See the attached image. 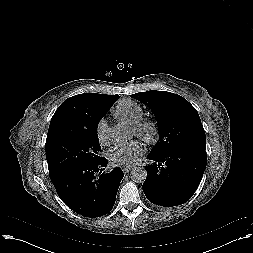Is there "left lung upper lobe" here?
Masks as SVG:
<instances>
[{
  "label": "left lung upper lobe",
  "mask_w": 253,
  "mask_h": 253,
  "mask_svg": "<svg viewBox=\"0 0 253 253\" xmlns=\"http://www.w3.org/2000/svg\"><path fill=\"white\" fill-rule=\"evenodd\" d=\"M147 105L155 115L159 140L153 153L163 154L182 146L206 149V136L196 109L180 95L151 90L130 95Z\"/></svg>",
  "instance_id": "obj_1"
}]
</instances>
